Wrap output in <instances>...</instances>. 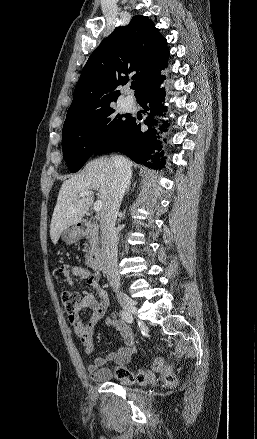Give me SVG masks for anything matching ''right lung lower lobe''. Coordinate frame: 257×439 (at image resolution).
I'll return each instance as SVG.
<instances>
[{
  "label": "right lung lower lobe",
  "mask_w": 257,
  "mask_h": 439,
  "mask_svg": "<svg viewBox=\"0 0 257 439\" xmlns=\"http://www.w3.org/2000/svg\"><path fill=\"white\" fill-rule=\"evenodd\" d=\"M164 79V76H159L137 100L145 110L144 113L147 114L144 124L148 126V129H141L139 120L131 118L118 136L100 146L93 154L118 151L147 167L153 169L163 167L166 162L161 151L160 134L167 130L169 123L160 122L155 117L163 115L166 109L162 104L165 92L159 87Z\"/></svg>",
  "instance_id": "obj_1"
}]
</instances>
